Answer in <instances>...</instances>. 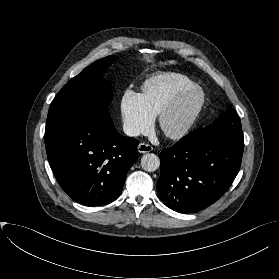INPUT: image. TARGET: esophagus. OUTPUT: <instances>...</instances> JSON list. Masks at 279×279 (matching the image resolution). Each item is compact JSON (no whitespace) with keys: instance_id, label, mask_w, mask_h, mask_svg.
Segmentation results:
<instances>
[{"instance_id":"obj_1","label":"esophagus","mask_w":279,"mask_h":279,"mask_svg":"<svg viewBox=\"0 0 279 279\" xmlns=\"http://www.w3.org/2000/svg\"><path fill=\"white\" fill-rule=\"evenodd\" d=\"M139 153H148L153 150V147L146 143H140L137 147Z\"/></svg>"}]
</instances>
